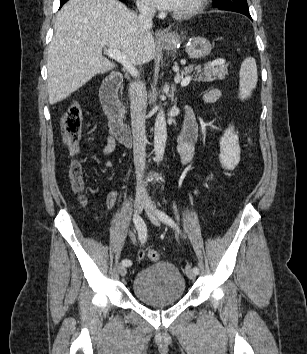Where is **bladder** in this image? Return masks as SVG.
<instances>
[{
	"label": "bladder",
	"mask_w": 307,
	"mask_h": 354,
	"mask_svg": "<svg viewBox=\"0 0 307 354\" xmlns=\"http://www.w3.org/2000/svg\"><path fill=\"white\" fill-rule=\"evenodd\" d=\"M132 290L136 298L144 304L163 307L175 304L183 298L186 282L176 265L159 261L137 272Z\"/></svg>",
	"instance_id": "obj_1"
}]
</instances>
